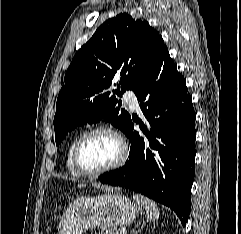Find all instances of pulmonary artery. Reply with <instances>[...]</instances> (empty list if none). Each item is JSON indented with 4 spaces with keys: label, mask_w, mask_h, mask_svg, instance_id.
I'll return each instance as SVG.
<instances>
[{
    "label": "pulmonary artery",
    "mask_w": 241,
    "mask_h": 234,
    "mask_svg": "<svg viewBox=\"0 0 241 234\" xmlns=\"http://www.w3.org/2000/svg\"><path fill=\"white\" fill-rule=\"evenodd\" d=\"M124 99L132 110L139 108L137 97L133 91L127 90L124 94Z\"/></svg>",
    "instance_id": "pulmonary-artery-1"
}]
</instances>
